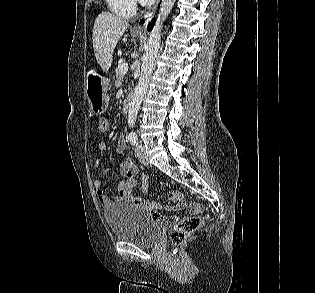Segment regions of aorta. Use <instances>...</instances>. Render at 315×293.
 I'll list each match as a JSON object with an SVG mask.
<instances>
[{
	"label": "aorta",
	"instance_id": "aorta-1",
	"mask_svg": "<svg viewBox=\"0 0 315 293\" xmlns=\"http://www.w3.org/2000/svg\"><path fill=\"white\" fill-rule=\"evenodd\" d=\"M174 3L175 0H162L158 19L146 44V51L143 56L139 82L133 95L128 112V124L130 127H133L136 122L141 101L146 93L149 80L152 75L155 58L160 47L163 24L165 19L172 11Z\"/></svg>",
	"mask_w": 315,
	"mask_h": 293
}]
</instances>
